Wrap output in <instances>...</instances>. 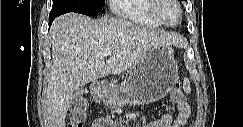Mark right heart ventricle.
<instances>
[{"label": "right heart ventricle", "instance_id": "e07e8e85", "mask_svg": "<svg viewBox=\"0 0 243 127\" xmlns=\"http://www.w3.org/2000/svg\"><path fill=\"white\" fill-rule=\"evenodd\" d=\"M152 0H114L112 10L120 18L131 24L149 29H158L162 25L152 14Z\"/></svg>", "mask_w": 243, "mask_h": 127}]
</instances>
